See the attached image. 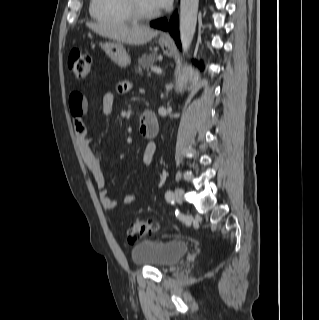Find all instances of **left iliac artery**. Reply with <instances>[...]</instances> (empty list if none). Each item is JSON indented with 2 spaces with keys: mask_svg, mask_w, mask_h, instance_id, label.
Masks as SVG:
<instances>
[{
  "mask_svg": "<svg viewBox=\"0 0 319 320\" xmlns=\"http://www.w3.org/2000/svg\"><path fill=\"white\" fill-rule=\"evenodd\" d=\"M165 198L168 202H173L174 201V195H173V192L168 190L166 193H165Z\"/></svg>",
  "mask_w": 319,
  "mask_h": 320,
  "instance_id": "obj_1",
  "label": "left iliac artery"
}]
</instances>
